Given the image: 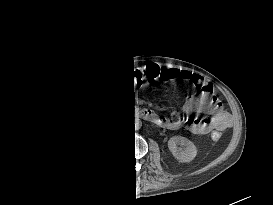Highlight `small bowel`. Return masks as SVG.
Returning a JSON list of instances; mask_svg holds the SVG:
<instances>
[{"label":"small bowel","mask_w":273,"mask_h":205,"mask_svg":"<svg viewBox=\"0 0 273 205\" xmlns=\"http://www.w3.org/2000/svg\"><path fill=\"white\" fill-rule=\"evenodd\" d=\"M167 73L170 79L181 78L197 86H202L198 97L189 98L185 101L184 110L207 115L203 118H193L185 121H169L166 122L168 128L185 127L194 134H205L212 130L220 131L228 127L231 118L230 114L219 101L211 97L212 86L206 83L201 76L178 69H170Z\"/></svg>","instance_id":"c3829d8e"}]
</instances>
